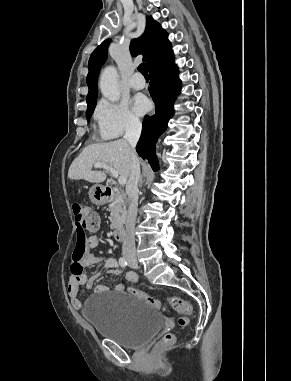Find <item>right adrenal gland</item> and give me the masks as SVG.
<instances>
[{"label": "right adrenal gland", "instance_id": "2a0ac1e0", "mask_svg": "<svg viewBox=\"0 0 291 381\" xmlns=\"http://www.w3.org/2000/svg\"><path fill=\"white\" fill-rule=\"evenodd\" d=\"M142 184H143V175L140 177V183H139V186L142 187Z\"/></svg>", "mask_w": 291, "mask_h": 381}]
</instances>
